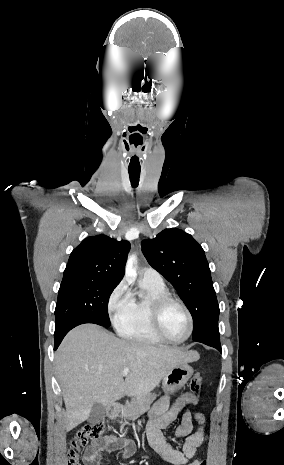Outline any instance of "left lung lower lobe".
<instances>
[{
    "mask_svg": "<svg viewBox=\"0 0 284 465\" xmlns=\"http://www.w3.org/2000/svg\"><path fill=\"white\" fill-rule=\"evenodd\" d=\"M194 341L196 342H201L203 344L212 346L216 348L217 350L221 351V345H220V334L219 330L218 331H211L208 332L198 338H196Z\"/></svg>",
    "mask_w": 284,
    "mask_h": 465,
    "instance_id": "obj_1",
    "label": "left lung lower lobe"
}]
</instances>
